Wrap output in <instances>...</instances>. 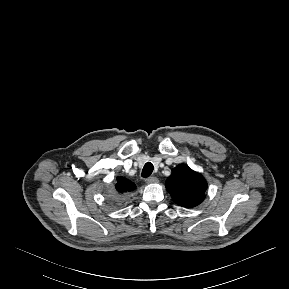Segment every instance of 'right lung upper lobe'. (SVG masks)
Wrapping results in <instances>:
<instances>
[{"mask_svg": "<svg viewBox=\"0 0 289 289\" xmlns=\"http://www.w3.org/2000/svg\"><path fill=\"white\" fill-rule=\"evenodd\" d=\"M115 187L119 193H123L132 191L136 186L133 182L126 179L125 177H117Z\"/></svg>", "mask_w": 289, "mask_h": 289, "instance_id": "cb5924a9", "label": "right lung upper lobe"}]
</instances>
